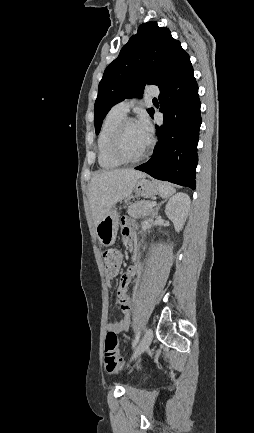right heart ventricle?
Returning <instances> with one entry per match:
<instances>
[{"mask_svg":"<svg viewBox=\"0 0 254 433\" xmlns=\"http://www.w3.org/2000/svg\"><path fill=\"white\" fill-rule=\"evenodd\" d=\"M125 117L111 110L105 117L97 140L98 163L106 170L116 169L122 165L110 151L111 138L119 122Z\"/></svg>","mask_w":254,"mask_h":433,"instance_id":"1","label":"right heart ventricle"}]
</instances>
